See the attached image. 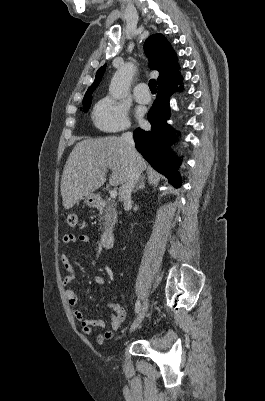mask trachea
Masks as SVG:
<instances>
[{"label":"trachea","instance_id":"trachea-1","mask_svg":"<svg viewBox=\"0 0 265 401\" xmlns=\"http://www.w3.org/2000/svg\"><path fill=\"white\" fill-rule=\"evenodd\" d=\"M148 86H149L151 92L157 91L156 90V80H154V79L150 80Z\"/></svg>","mask_w":265,"mask_h":401}]
</instances>
